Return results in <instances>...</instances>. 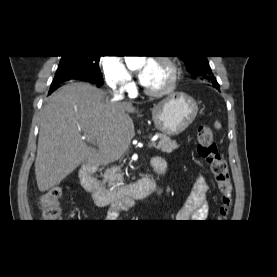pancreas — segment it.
<instances>
[{"label": "pancreas", "mask_w": 277, "mask_h": 277, "mask_svg": "<svg viewBox=\"0 0 277 277\" xmlns=\"http://www.w3.org/2000/svg\"><path fill=\"white\" fill-rule=\"evenodd\" d=\"M160 140L156 146L157 150H160L163 153H171L179 146L175 140H171L168 136L160 135ZM104 181L108 183L110 187H119L123 185V173L120 167H112L107 169L103 175Z\"/></svg>", "instance_id": "1"}]
</instances>
